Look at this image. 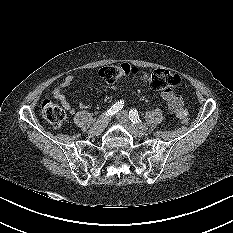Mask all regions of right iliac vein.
<instances>
[{
  "instance_id": "obj_1",
  "label": "right iliac vein",
  "mask_w": 233,
  "mask_h": 233,
  "mask_svg": "<svg viewBox=\"0 0 233 233\" xmlns=\"http://www.w3.org/2000/svg\"><path fill=\"white\" fill-rule=\"evenodd\" d=\"M108 123V117L107 116H101L97 119V121L93 124L91 127L89 133L94 136L100 135L103 130L105 129L106 125Z\"/></svg>"
}]
</instances>
